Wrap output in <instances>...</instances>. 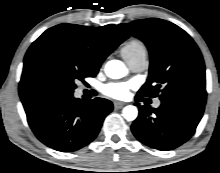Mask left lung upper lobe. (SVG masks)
<instances>
[{"label": "left lung upper lobe", "mask_w": 220, "mask_h": 173, "mask_svg": "<svg viewBox=\"0 0 220 173\" xmlns=\"http://www.w3.org/2000/svg\"><path fill=\"white\" fill-rule=\"evenodd\" d=\"M142 40L150 53L147 82L140 97L184 100L205 105V65L193 39L177 25L157 18L120 24Z\"/></svg>", "instance_id": "obj_1"}]
</instances>
